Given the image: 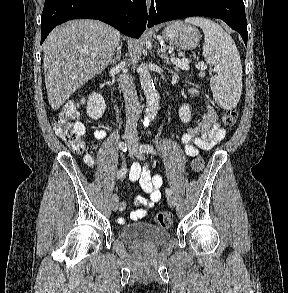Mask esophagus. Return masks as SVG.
I'll list each match as a JSON object with an SVG mask.
<instances>
[{
    "mask_svg": "<svg viewBox=\"0 0 288 293\" xmlns=\"http://www.w3.org/2000/svg\"><path fill=\"white\" fill-rule=\"evenodd\" d=\"M146 2H147V7H149L151 0H146Z\"/></svg>",
    "mask_w": 288,
    "mask_h": 293,
    "instance_id": "obj_1",
    "label": "esophagus"
}]
</instances>
